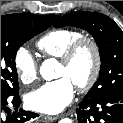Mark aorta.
<instances>
[{"label":"aorta","instance_id":"obj_1","mask_svg":"<svg viewBox=\"0 0 123 123\" xmlns=\"http://www.w3.org/2000/svg\"><path fill=\"white\" fill-rule=\"evenodd\" d=\"M57 65V61L53 58L45 60L40 66V74L45 80H52L55 78V68ZM59 123H73L71 119L64 118L59 121Z\"/></svg>","mask_w":123,"mask_h":123}]
</instances>
